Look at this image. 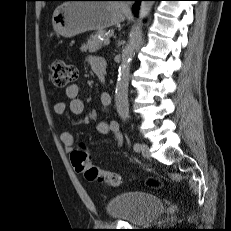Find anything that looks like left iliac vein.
Wrapping results in <instances>:
<instances>
[{
	"label": "left iliac vein",
	"mask_w": 231,
	"mask_h": 231,
	"mask_svg": "<svg viewBox=\"0 0 231 231\" xmlns=\"http://www.w3.org/2000/svg\"><path fill=\"white\" fill-rule=\"evenodd\" d=\"M144 158H149L150 157V151L149 147L147 144L142 143L140 145V150H139Z\"/></svg>",
	"instance_id": "1"
}]
</instances>
